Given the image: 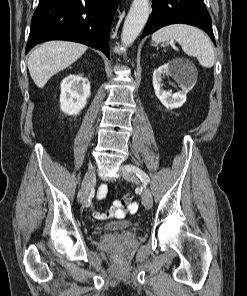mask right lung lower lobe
<instances>
[{
	"instance_id": "1",
	"label": "right lung lower lobe",
	"mask_w": 247,
	"mask_h": 296,
	"mask_svg": "<svg viewBox=\"0 0 247 296\" xmlns=\"http://www.w3.org/2000/svg\"><path fill=\"white\" fill-rule=\"evenodd\" d=\"M120 0H39L25 52L49 40L79 42L108 58L110 26Z\"/></svg>"
}]
</instances>
